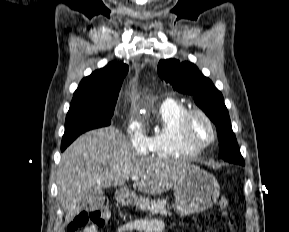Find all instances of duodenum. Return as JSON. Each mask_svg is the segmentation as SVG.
Here are the masks:
<instances>
[{
    "label": "duodenum",
    "instance_id": "410a0bca",
    "mask_svg": "<svg viewBox=\"0 0 289 232\" xmlns=\"http://www.w3.org/2000/svg\"><path fill=\"white\" fill-rule=\"evenodd\" d=\"M119 199H120L121 201H125V200H127V196L124 195V194H120V195H119Z\"/></svg>",
    "mask_w": 289,
    "mask_h": 232
}]
</instances>
